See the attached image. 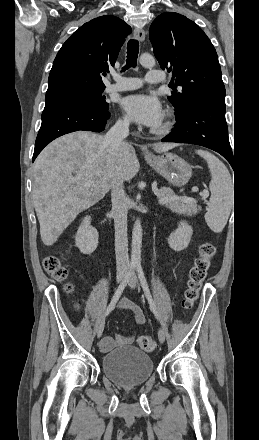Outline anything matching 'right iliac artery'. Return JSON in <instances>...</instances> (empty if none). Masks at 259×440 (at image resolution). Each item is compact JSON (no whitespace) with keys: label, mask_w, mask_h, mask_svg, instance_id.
<instances>
[{"label":"right iliac artery","mask_w":259,"mask_h":440,"mask_svg":"<svg viewBox=\"0 0 259 440\" xmlns=\"http://www.w3.org/2000/svg\"><path fill=\"white\" fill-rule=\"evenodd\" d=\"M134 269H135V265H131L129 270H128V272L126 273L123 281L121 282V284L117 288V290H116V292H115V294H114L110 304L108 305V307H107V309H106V311L104 313V317L109 315V313L114 309L117 301L119 300L120 296L122 295V293H123V291H124L128 281H129V279H130Z\"/></svg>","instance_id":"82829eb1"}]
</instances>
